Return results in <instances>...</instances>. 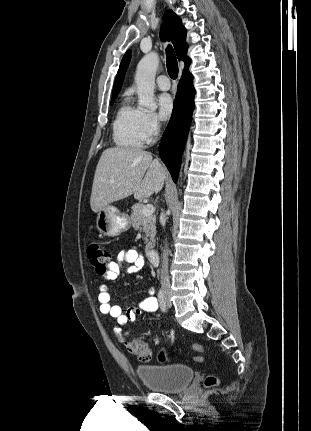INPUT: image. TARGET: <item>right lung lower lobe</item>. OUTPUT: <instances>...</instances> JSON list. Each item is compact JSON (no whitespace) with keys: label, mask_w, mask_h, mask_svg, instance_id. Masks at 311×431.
I'll return each mask as SVG.
<instances>
[{"label":"right lung lower lobe","mask_w":311,"mask_h":431,"mask_svg":"<svg viewBox=\"0 0 311 431\" xmlns=\"http://www.w3.org/2000/svg\"><path fill=\"white\" fill-rule=\"evenodd\" d=\"M194 94L192 75L186 72L179 82L171 119L159 145L161 159L170 171L174 182L178 178L180 158L188 135L194 108Z\"/></svg>","instance_id":"right-lung-lower-lobe-1"}]
</instances>
